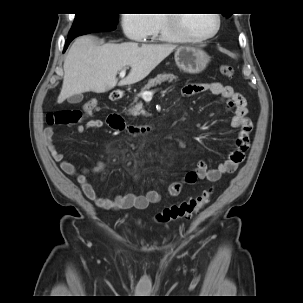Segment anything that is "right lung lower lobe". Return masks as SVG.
<instances>
[{
  "label": "right lung lower lobe",
  "mask_w": 303,
  "mask_h": 303,
  "mask_svg": "<svg viewBox=\"0 0 303 303\" xmlns=\"http://www.w3.org/2000/svg\"><path fill=\"white\" fill-rule=\"evenodd\" d=\"M111 30H114V29H113V28H99V29L90 30V31H88V32L85 33V34H89V33H93V32H106V31H111ZM76 37H77V36L68 37V40H67V42H66V44H65V47H64V51H63V52H65V50L67 49L69 43H70L74 38H76Z\"/></svg>",
  "instance_id": "98d812e1"
}]
</instances>
